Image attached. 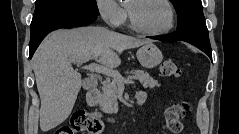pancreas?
Listing matches in <instances>:
<instances>
[{
  "label": "pancreas",
  "instance_id": "obj_1",
  "mask_svg": "<svg viewBox=\"0 0 239 134\" xmlns=\"http://www.w3.org/2000/svg\"><path fill=\"white\" fill-rule=\"evenodd\" d=\"M125 73L133 74V78L139 80L144 88L152 89L156 86H160L157 80L143 70H132L130 72L126 71ZM118 86L119 83L115 79L112 82L103 83V95L100 98L99 104L101 110L107 114H113L118 111Z\"/></svg>",
  "mask_w": 239,
  "mask_h": 134
}]
</instances>
